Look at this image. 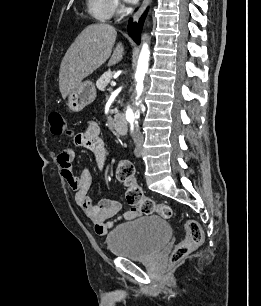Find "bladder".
I'll return each mask as SVG.
<instances>
[{"label": "bladder", "mask_w": 261, "mask_h": 306, "mask_svg": "<svg viewBox=\"0 0 261 306\" xmlns=\"http://www.w3.org/2000/svg\"><path fill=\"white\" fill-rule=\"evenodd\" d=\"M171 227L159 215H146L111 231L106 243L109 251L133 261L150 260L170 239Z\"/></svg>", "instance_id": "bladder-1"}]
</instances>
